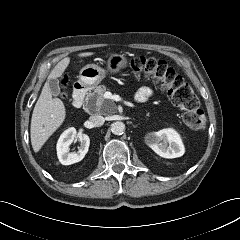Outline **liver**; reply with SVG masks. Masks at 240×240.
I'll list each match as a JSON object with an SVG mask.
<instances>
[{"instance_id":"liver-1","label":"liver","mask_w":240,"mask_h":240,"mask_svg":"<svg viewBox=\"0 0 240 240\" xmlns=\"http://www.w3.org/2000/svg\"><path fill=\"white\" fill-rule=\"evenodd\" d=\"M93 55L92 52L81 53L79 57ZM70 63V58L62 59L53 68L44 84L41 94L35 104L31 118V144L34 152H38L49 137L62 125L66 117V110L60 99L52 98L49 80L61 77Z\"/></svg>"}]
</instances>
